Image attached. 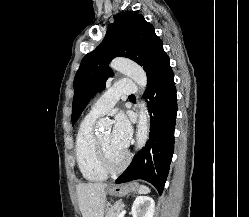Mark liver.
I'll return each instance as SVG.
<instances>
[{
    "label": "liver",
    "instance_id": "liver-1",
    "mask_svg": "<svg viewBox=\"0 0 249 217\" xmlns=\"http://www.w3.org/2000/svg\"><path fill=\"white\" fill-rule=\"evenodd\" d=\"M106 188L105 183H82L76 186L82 217H103Z\"/></svg>",
    "mask_w": 249,
    "mask_h": 217
}]
</instances>
